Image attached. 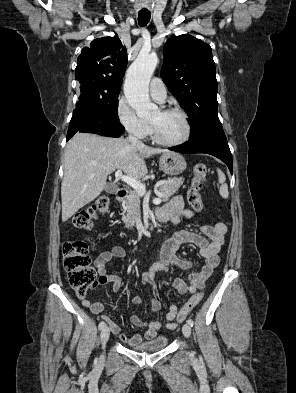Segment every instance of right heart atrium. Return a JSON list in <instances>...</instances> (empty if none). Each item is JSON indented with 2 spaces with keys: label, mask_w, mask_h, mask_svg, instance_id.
I'll return each instance as SVG.
<instances>
[{
  "label": "right heart atrium",
  "mask_w": 296,
  "mask_h": 393,
  "mask_svg": "<svg viewBox=\"0 0 296 393\" xmlns=\"http://www.w3.org/2000/svg\"><path fill=\"white\" fill-rule=\"evenodd\" d=\"M116 115L122 126L132 136L143 139L150 134L149 123L139 117L134 108L124 98H120L116 104Z\"/></svg>",
  "instance_id": "obj_1"
}]
</instances>
